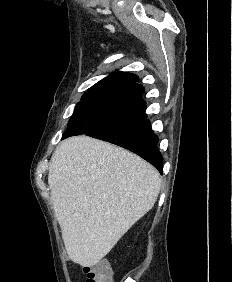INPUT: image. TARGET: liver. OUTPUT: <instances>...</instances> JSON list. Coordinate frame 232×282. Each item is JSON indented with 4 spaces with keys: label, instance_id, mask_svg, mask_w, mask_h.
Returning a JSON list of instances; mask_svg holds the SVG:
<instances>
[{
    "label": "liver",
    "instance_id": "liver-1",
    "mask_svg": "<svg viewBox=\"0 0 232 282\" xmlns=\"http://www.w3.org/2000/svg\"><path fill=\"white\" fill-rule=\"evenodd\" d=\"M48 184L69 259L93 266L154 206L161 178L128 150L76 136L55 150Z\"/></svg>",
    "mask_w": 232,
    "mask_h": 282
}]
</instances>
